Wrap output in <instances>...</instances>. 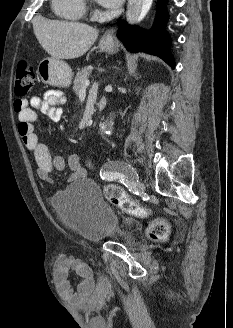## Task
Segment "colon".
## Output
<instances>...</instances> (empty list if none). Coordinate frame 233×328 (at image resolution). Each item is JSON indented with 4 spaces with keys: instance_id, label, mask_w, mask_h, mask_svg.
<instances>
[{
    "instance_id": "1",
    "label": "colon",
    "mask_w": 233,
    "mask_h": 328,
    "mask_svg": "<svg viewBox=\"0 0 233 328\" xmlns=\"http://www.w3.org/2000/svg\"><path fill=\"white\" fill-rule=\"evenodd\" d=\"M35 83V72L33 67L26 60H21L18 63L15 74V94L19 97L27 95ZM104 194L107 200L113 205L119 207L126 213L142 216L147 213V210L139 204L131 200L126 192L115 184H107L104 187ZM168 224L164 221H159L155 224L151 231L153 238H161L168 232Z\"/></svg>"
}]
</instances>
